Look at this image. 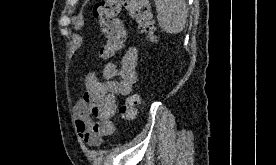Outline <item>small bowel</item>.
<instances>
[{
    "label": "small bowel",
    "instance_id": "obj_1",
    "mask_svg": "<svg viewBox=\"0 0 276 165\" xmlns=\"http://www.w3.org/2000/svg\"><path fill=\"white\" fill-rule=\"evenodd\" d=\"M138 51L130 47L123 55L120 65H104L101 82L95 73L87 75L86 90L74 107L76 128L85 144L99 146L104 137L115 130L117 96H128L137 81ZM95 119V120H94Z\"/></svg>",
    "mask_w": 276,
    "mask_h": 165
}]
</instances>
